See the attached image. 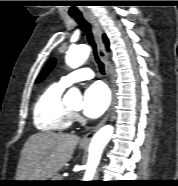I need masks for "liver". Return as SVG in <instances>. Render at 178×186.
I'll list each match as a JSON object with an SVG mask.
<instances>
[{
    "instance_id": "obj_1",
    "label": "liver",
    "mask_w": 178,
    "mask_h": 186,
    "mask_svg": "<svg viewBox=\"0 0 178 186\" xmlns=\"http://www.w3.org/2000/svg\"><path fill=\"white\" fill-rule=\"evenodd\" d=\"M79 137L67 133L41 132L24 144L17 167L18 181H45L72 159Z\"/></svg>"
}]
</instances>
